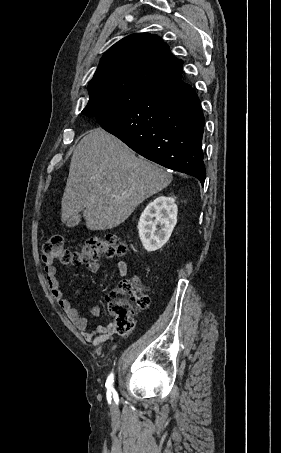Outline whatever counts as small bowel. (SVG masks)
Masks as SVG:
<instances>
[{"mask_svg":"<svg viewBox=\"0 0 281 453\" xmlns=\"http://www.w3.org/2000/svg\"><path fill=\"white\" fill-rule=\"evenodd\" d=\"M87 269L90 272H97L99 265L97 262H88ZM117 270L120 277L126 276L128 272V265L125 261H119L117 264ZM43 271L45 274L48 289L52 296L59 301V304L66 315L72 320L76 327L82 332V336L85 340L91 342L95 346H99L102 343L111 340L112 332L114 331V324L107 323L101 324L94 329L88 330L89 319L82 316L79 311L73 306L72 302L67 299L64 295L61 284L57 279V271L52 261H45L43 264ZM102 310L100 304H95L91 308V314L93 316L98 315Z\"/></svg>","mask_w":281,"mask_h":453,"instance_id":"1","label":"small bowel"}]
</instances>
